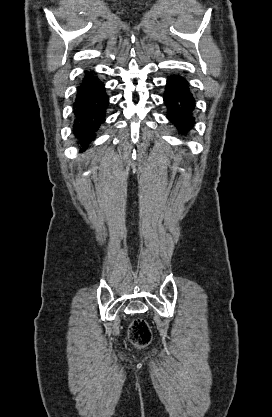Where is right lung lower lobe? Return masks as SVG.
Masks as SVG:
<instances>
[{"instance_id":"right-lung-lower-lobe-1","label":"right lung lower lobe","mask_w":272,"mask_h":417,"mask_svg":"<svg viewBox=\"0 0 272 417\" xmlns=\"http://www.w3.org/2000/svg\"><path fill=\"white\" fill-rule=\"evenodd\" d=\"M75 121L73 132L81 145L86 146L95 139L96 131L105 120L108 95L103 84L86 72V76L78 87L74 102Z\"/></svg>"}]
</instances>
